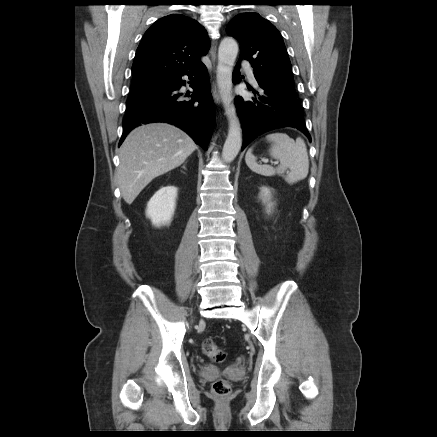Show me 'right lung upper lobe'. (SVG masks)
Instances as JSON below:
<instances>
[{"label":"right lung upper lobe","instance_id":"right-lung-upper-lobe-1","mask_svg":"<svg viewBox=\"0 0 437 437\" xmlns=\"http://www.w3.org/2000/svg\"><path fill=\"white\" fill-rule=\"evenodd\" d=\"M210 40L194 19L171 14L158 19L144 34L132 65L133 82L168 80L201 62Z\"/></svg>","mask_w":437,"mask_h":437}]
</instances>
